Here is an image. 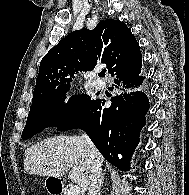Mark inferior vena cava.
<instances>
[{"instance_id":"inferior-vena-cava-1","label":"inferior vena cava","mask_w":189,"mask_h":195,"mask_svg":"<svg viewBox=\"0 0 189 195\" xmlns=\"http://www.w3.org/2000/svg\"><path fill=\"white\" fill-rule=\"evenodd\" d=\"M83 138L89 146L90 175L88 181V195H101L102 168L97 150L90 138L83 134Z\"/></svg>"}]
</instances>
